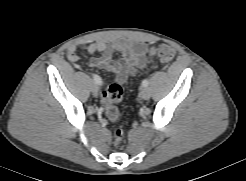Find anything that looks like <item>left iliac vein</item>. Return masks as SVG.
I'll list each match as a JSON object with an SVG mask.
<instances>
[{"instance_id": "obj_1", "label": "left iliac vein", "mask_w": 246, "mask_h": 181, "mask_svg": "<svg viewBox=\"0 0 246 181\" xmlns=\"http://www.w3.org/2000/svg\"><path fill=\"white\" fill-rule=\"evenodd\" d=\"M139 95L142 99L147 100L150 98L151 92L148 88L143 87V88H141Z\"/></svg>"}]
</instances>
